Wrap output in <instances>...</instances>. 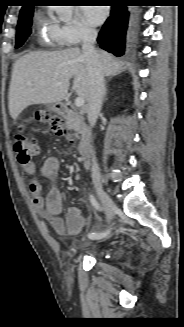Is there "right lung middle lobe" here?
Returning a JSON list of instances; mask_svg holds the SVG:
<instances>
[{"instance_id": "1", "label": "right lung middle lobe", "mask_w": 184, "mask_h": 327, "mask_svg": "<svg viewBox=\"0 0 184 327\" xmlns=\"http://www.w3.org/2000/svg\"><path fill=\"white\" fill-rule=\"evenodd\" d=\"M34 8L20 12L17 24V35L15 48H19L31 34L32 17Z\"/></svg>"}]
</instances>
